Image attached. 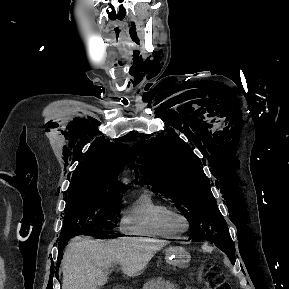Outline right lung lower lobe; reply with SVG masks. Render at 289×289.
<instances>
[{"label":"right lung lower lobe","instance_id":"1","mask_svg":"<svg viewBox=\"0 0 289 289\" xmlns=\"http://www.w3.org/2000/svg\"><path fill=\"white\" fill-rule=\"evenodd\" d=\"M65 244H66L65 242H59L58 262H59V257H60V255H61V253H62V250H63Z\"/></svg>","mask_w":289,"mask_h":289}]
</instances>
